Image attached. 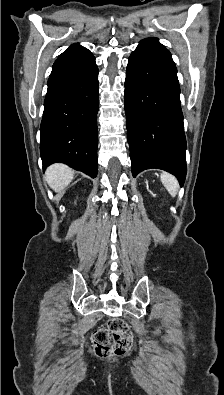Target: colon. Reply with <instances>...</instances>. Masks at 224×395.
Returning <instances> with one entry per match:
<instances>
[{
	"label": "colon",
	"instance_id": "1",
	"mask_svg": "<svg viewBox=\"0 0 224 395\" xmlns=\"http://www.w3.org/2000/svg\"><path fill=\"white\" fill-rule=\"evenodd\" d=\"M93 352L98 357L119 356L133 346V335L121 319L109 320L92 335Z\"/></svg>",
	"mask_w": 224,
	"mask_h": 395
}]
</instances>
